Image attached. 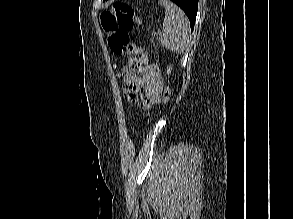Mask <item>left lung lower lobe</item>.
<instances>
[{
	"instance_id": "obj_1",
	"label": "left lung lower lobe",
	"mask_w": 293,
	"mask_h": 219,
	"mask_svg": "<svg viewBox=\"0 0 293 219\" xmlns=\"http://www.w3.org/2000/svg\"><path fill=\"white\" fill-rule=\"evenodd\" d=\"M177 4L188 16L191 30L194 28V23L198 10V0H171Z\"/></svg>"
}]
</instances>
